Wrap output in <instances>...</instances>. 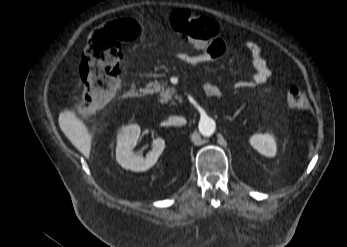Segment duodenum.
<instances>
[{
	"label": "duodenum",
	"mask_w": 347,
	"mask_h": 247,
	"mask_svg": "<svg viewBox=\"0 0 347 247\" xmlns=\"http://www.w3.org/2000/svg\"><path fill=\"white\" fill-rule=\"evenodd\" d=\"M151 89L149 87L132 88L126 92L128 97L142 98L150 94ZM205 94L208 97L217 96V91L215 88H205Z\"/></svg>",
	"instance_id": "410a0bca"
}]
</instances>
